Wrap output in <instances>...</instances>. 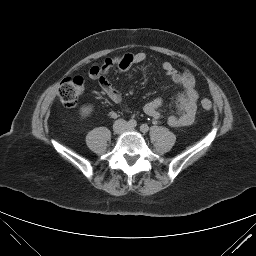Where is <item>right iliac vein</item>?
<instances>
[{"mask_svg":"<svg viewBox=\"0 0 256 256\" xmlns=\"http://www.w3.org/2000/svg\"><path fill=\"white\" fill-rule=\"evenodd\" d=\"M124 128V125L122 123H118L115 125L114 127V131L117 132V133H120Z\"/></svg>","mask_w":256,"mask_h":256,"instance_id":"63e3f726","label":"right iliac vein"}]
</instances>
